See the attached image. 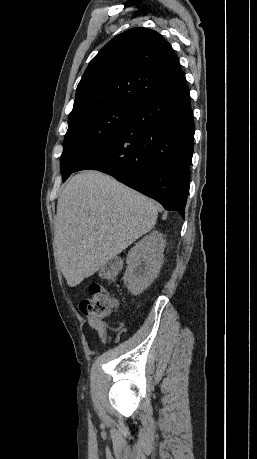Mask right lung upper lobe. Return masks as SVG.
Instances as JSON below:
<instances>
[{
	"mask_svg": "<svg viewBox=\"0 0 257 459\" xmlns=\"http://www.w3.org/2000/svg\"><path fill=\"white\" fill-rule=\"evenodd\" d=\"M184 76L170 44L136 27L114 37L90 61L76 89L68 122L110 106L136 108Z\"/></svg>",
	"mask_w": 257,
	"mask_h": 459,
	"instance_id": "cb5924a9",
	"label": "right lung upper lobe"
}]
</instances>
